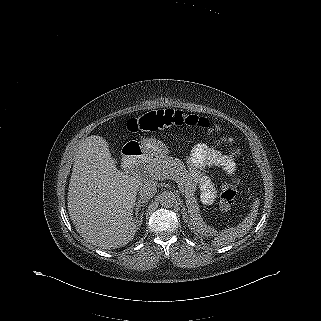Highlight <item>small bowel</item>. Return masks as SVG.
<instances>
[{"label":"small bowel","instance_id":"small-bowel-1","mask_svg":"<svg viewBox=\"0 0 321 321\" xmlns=\"http://www.w3.org/2000/svg\"><path fill=\"white\" fill-rule=\"evenodd\" d=\"M197 153L203 154L206 163L210 166H218L221 167L228 175H232L235 166L234 163L227 158L220 154V152L216 149H207L202 145H199L195 148ZM205 203H210L212 201L209 197H204Z\"/></svg>","mask_w":321,"mask_h":321}]
</instances>
